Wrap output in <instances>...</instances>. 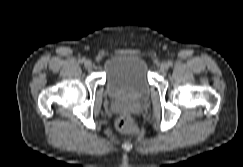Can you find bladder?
<instances>
[{"label":"bladder","instance_id":"31cf9c89","mask_svg":"<svg viewBox=\"0 0 243 167\" xmlns=\"http://www.w3.org/2000/svg\"><path fill=\"white\" fill-rule=\"evenodd\" d=\"M106 88L110 96L141 100L150 92L145 61L134 55H115L105 64Z\"/></svg>","mask_w":243,"mask_h":167}]
</instances>
